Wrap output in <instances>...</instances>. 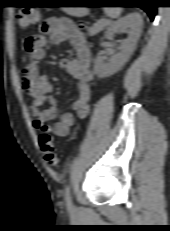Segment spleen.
<instances>
[{
    "label": "spleen",
    "instance_id": "spleen-1",
    "mask_svg": "<svg viewBox=\"0 0 170 231\" xmlns=\"http://www.w3.org/2000/svg\"><path fill=\"white\" fill-rule=\"evenodd\" d=\"M122 9L120 7H106L104 8V12L107 16L111 18L119 17Z\"/></svg>",
    "mask_w": 170,
    "mask_h": 231
}]
</instances>
